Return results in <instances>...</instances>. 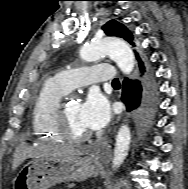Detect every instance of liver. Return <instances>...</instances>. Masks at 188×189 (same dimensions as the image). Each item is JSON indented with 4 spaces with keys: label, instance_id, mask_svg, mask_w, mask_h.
Masks as SVG:
<instances>
[{
    "label": "liver",
    "instance_id": "6515ba94",
    "mask_svg": "<svg viewBox=\"0 0 188 189\" xmlns=\"http://www.w3.org/2000/svg\"><path fill=\"white\" fill-rule=\"evenodd\" d=\"M84 151L68 145H43L39 147H28L19 145L13 155L12 169L15 170L26 158H53L60 156H80Z\"/></svg>",
    "mask_w": 188,
    "mask_h": 189
}]
</instances>
